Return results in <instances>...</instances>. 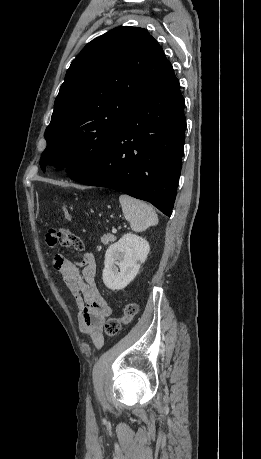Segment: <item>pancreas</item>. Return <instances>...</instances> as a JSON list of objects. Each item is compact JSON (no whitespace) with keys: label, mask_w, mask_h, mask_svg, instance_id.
<instances>
[{"label":"pancreas","mask_w":261,"mask_h":459,"mask_svg":"<svg viewBox=\"0 0 261 459\" xmlns=\"http://www.w3.org/2000/svg\"><path fill=\"white\" fill-rule=\"evenodd\" d=\"M116 240V236L112 235V234H106L104 236L101 237V242L104 244V245H107L109 243H112Z\"/></svg>","instance_id":"1"}]
</instances>
